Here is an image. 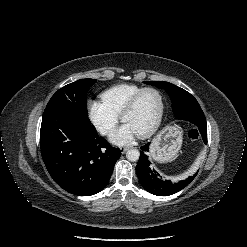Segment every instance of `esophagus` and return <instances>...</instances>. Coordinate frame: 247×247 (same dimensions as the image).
<instances>
[{
    "instance_id": "obj_1",
    "label": "esophagus",
    "mask_w": 247,
    "mask_h": 247,
    "mask_svg": "<svg viewBox=\"0 0 247 247\" xmlns=\"http://www.w3.org/2000/svg\"><path fill=\"white\" fill-rule=\"evenodd\" d=\"M127 150H128L127 147L120 148V151H121L122 154H124Z\"/></svg>"
}]
</instances>
